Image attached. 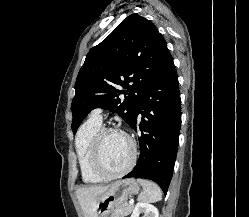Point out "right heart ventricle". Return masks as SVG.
I'll return each instance as SVG.
<instances>
[{
    "instance_id": "right-heart-ventricle-1",
    "label": "right heart ventricle",
    "mask_w": 249,
    "mask_h": 217,
    "mask_svg": "<svg viewBox=\"0 0 249 217\" xmlns=\"http://www.w3.org/2000/svg\"><path fill=\"white\" fill-rule=\"evenodd\" d=\"M102 127V121L88 118L79 128L75 138V150L82 179L85 183L97 184L104 181L90 166V150L94 136Z\"/></svg>"
}]
</instances>
